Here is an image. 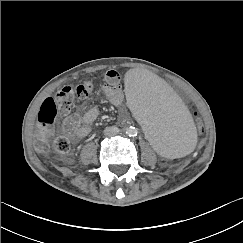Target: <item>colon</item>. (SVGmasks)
I'll use <instances>...</instances> for the list:
<instances>
[{
    "label": "colon",
    "instance_id": "obj_1",
    "mask_svg": "<svg viewBox=\"0 0 243 243\" xmlns=\"http://www.w3.org/2000/svg\"><path fill=\"white\" fill-rule=\"evenodd\" d=\"M92 92L93 85L90 82H83L76 87H64L43 102L34 132V146L38 151H45L48 148L49 139L55 133L54 122L58 114L68 113L77 100L87 99ZM189 112L194 119L196 139L202 142L205 139L202 115L195 106H189ZM53 147L59 153H67L70 149V142L64 136H57L53 139ZM201 148L202 144H199L197 151Z\"/></svg>",
    "mask_w": 243,
    "mask_h": 243
}]
</instances>
